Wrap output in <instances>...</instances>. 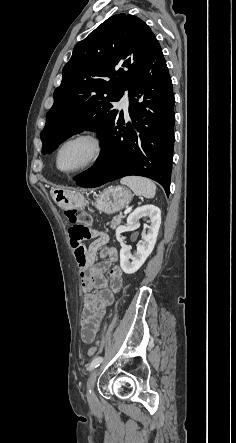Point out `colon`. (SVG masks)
Returning <instances> with one entry per match:
<instances>
[{
    "mask_svg": "<svg viewBox=\"0 0 236 443\" xmlns=\"http://www.w3.org/2000/svg\"><path fill=\"white\" fill-rule=\"evenodd\" d=\"M65 215L69 222L72 223V227L69 230L71 238L84 241L92 237L93 219L88 212L81 209H66ZM96 352L97 346L94 345L88 348L87 355L93 357Z\"/></svg>",
    "mask_w": 236,
    "mask_h": 443,
    "instance_id": "1",
    "label": "colon"
}]
</instances>
